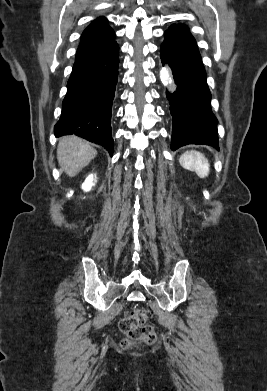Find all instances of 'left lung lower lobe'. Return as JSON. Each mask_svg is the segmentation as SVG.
I'll list each match as a JSON object with an SVG mask.
<instances>
[{"mask_svg": "<svg viewBox=\"0 0 267 391\" xmlns=\"http://www.w3.org/2000/svg\"><path fill=\"white\" fill-rule=\"evenodd\" d=\"M160 47L162 63L172 69L177 91L166 92L172 115L171 149L187 144L218 148L217 119L200 53L188 29L172 25Z\"/></svg>", "mask_w": 267, "mask_h": 391, "instance_id": "0a47b994", "label": "left lung lower lobe"}]
</instances>
